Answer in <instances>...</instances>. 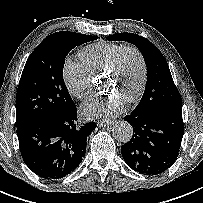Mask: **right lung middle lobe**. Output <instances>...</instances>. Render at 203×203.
<instances>
[{
  "label": "right lung middle lobe",
  "instance_id": "dd1d6c3e",
  "mask_svg": "<svg viewBox=\"0 0 203 203\" xmlns=\"http://www.w3.org/2000/svg\"><path fill=\"white\" fill-rule=\"evenodd\" d=\"M75 32L46 37L29 56L16 97V127L75 106L63 79L66 55L76 46L96 40Z\"/></svg>",
  "mask_w": 203,
  "mask_h": 203
}]
</instances>
